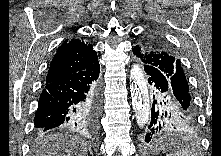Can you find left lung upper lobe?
Wrapping results in <instances>:
<instances>
[{"instance_id":"5c2ea615","label":"left lung upper lobe","mask_w":221,"mask_h":156,"mask_svg":"<svg viewBox=\"0 0 221 156\" xmlns=\"http://www.w3.org/2000/svg\"><path fill=\"white\" fill-rule=\"evenodd\" d=\"M133 50L144 66H152L168 72L173 80V94L187 110L194 112V105L181 62L158 35L151 33Z\"/></svg>"}]
</instances>
